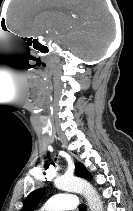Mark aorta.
Instances as JSON below:
<instances>
[{
  "mask_svg": "<svg viewBox=\"0 0 133 211\" xmlns=\"http://www.w3.org/2000/svg\"><path fill=\"white\" fill-rule=\"evenodd\" d=\"M56 188L63 191L77 192L83 195L91 211H103L100 196L93 186L84 179L75 176H61L54 181Z\"/></svg>",
  "mask_w": 133,
  "mask_h": 211,
  "instance_id": "aorta-1",
  "label": "aorta"
}]
</instances>
